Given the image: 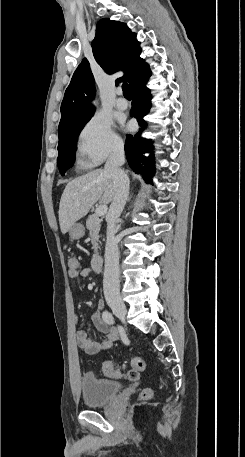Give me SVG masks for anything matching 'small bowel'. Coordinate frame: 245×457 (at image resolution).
Instances as JSON below:
<instances>
[{
  "label": "small bowel",
  "instance_id": "obj_1",
  "mask_svg": "<svg viewBox=\"0 0 245 457\" xmlns=\"http://www.w3.org/2000/svg\"><path fill=\"white\" fill-rule=\"evenodd\" d=\"M90 274L91 272L88 269H69V276L73 279H78L80 277L85 278L90 276ZM103 308L104 301L99 300L96 311L92 317L95 327L104 334L100 341L92 340L84 330H79L77 332V344L79 348L89 355H95L110 349L118 338L117 329L110 326V324L104 320L102 312ZM76 321L78 322V317L76 318Z\"/></svg>",
  "mask_w": 245,
  "mask_h": 457
}]
</instances>
